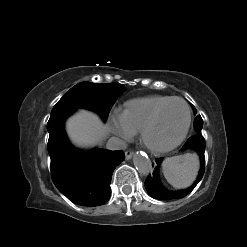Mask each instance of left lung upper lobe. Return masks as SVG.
I'll return each mask as SVG.
<instances>
[{"mask_svg": "<svg viewBox=\"0 0 247 247\" xmlns=\"http://www.w3.org/2000/svg\"><path fill=\"white\" fill-rule=\"evenodd\" d=\"M194 112L196 113V109H194ZM194 126L196 130V135H201V129L203 127V120L200 115H198L194 120Z\"/></svg>", "mask_w": 247, "mask_h": 247, "instance_id": "obj_1", "label": "left lung upper lobe"}]
</instances>
